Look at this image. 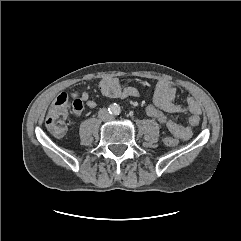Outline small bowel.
I'll use <instances>...</instances> for the list:
<instances>
[{
    "label": "small bowel",
    "instance_id": "1",
    "mask_svg": "<svg viewBox=\"0 0 241 241\" xmlns=\"http://www.w3.org/2000/svg\"><path fill=\"white\" fill-rule=\"evenodd\" d=\"M100 92L107 98H127L138 97L140 92L133 86H122L117 78L105 77L99 82ZM176 95L175 85L167 80H161L156 83L153 102L166 113H184L189 112L192 115L199 116L201 107L199 103L192 97L186 100V106L177 104L174 99ZM71 96L75 100H80L86 108L93 109L96 107V102L89 97L85 91L74 92ZM81 112V111H80ZM77 112L76 114H80Z\"/></svg>",
    "mask_w": 241,
    "mask_h": 241
}]
</instances>
